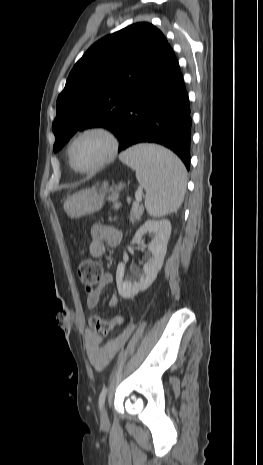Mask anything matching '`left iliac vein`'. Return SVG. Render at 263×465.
<instances>
[{
	"label": "left iliac vein",
	"instance_id": "left-iliac-vein-1",
	"mask_svg": "<svg viewBox=\"0 0 263 465\" xmlns=\"http://www.w3.org/2000/svg\"><path fill=\"white\" fill-rule=\"evenodd\" d=\"M100 416H101V421L103 423H106L108 421L107 409L105 406L102 407Z\"/></svg>",
	"mask_w": 263,
	"mask_h": 465
}]
</instances>
